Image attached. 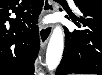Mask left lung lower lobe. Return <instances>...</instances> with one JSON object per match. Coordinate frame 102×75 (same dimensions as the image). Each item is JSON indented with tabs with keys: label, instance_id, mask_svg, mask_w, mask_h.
I'll return each instance as SVG.
<instances>
[{
	"label": "left lung lower lobe",
	"instance_id": "left-lung-lower-lobe-1",
	"mask_svg": "<svg viewBox=\"0 0 102 75\" xmlns=\"http://www.w3.org/2000/svg\"><path fill=\"white\" fill-rule=\"evenodd\" d=\"M78 8L82 16L71 19L84 29L71 32L64 28L65 48L55 75L102 74V9L90 6Z\"/></svg>",
	"mask_w": 102,
	"mask_h": 75
}]
</instances>
